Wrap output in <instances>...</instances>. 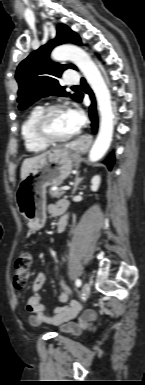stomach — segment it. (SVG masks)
<instances>
[{
    "label": "stomach",
    "instance_id": "1",
    "mask_svg": "<svg viewBox=\"0 0 145 385\" xmlns=\"http://www.w3.org/2000/svg\"><path fill=\"white\" fill-rule=\"evenodd\" d=\"M73 158L68 147L48 151L39 159L28 176L19 183L15 199L19 212L31 232L41 229L46 221V188L62 183L71 173Z\"/></svg>",
    "mask_w": 145,
    "mask_h": 385
}]
</instances>
